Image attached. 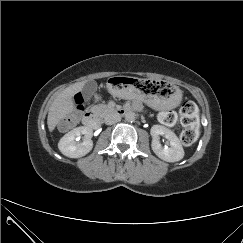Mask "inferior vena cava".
I'll use <instances>...</instances> for the list:
<instances>
[{
    "mask_svg": "<svg viewBox=\"0 0 243 243\" xmlns=\"http://www.w3.org/2000/svg\"><path fill=\"white\" fill-rule=\"evenodd\" d=\"M120 120H121L120 115H118L116 113H109L104 118V122L107 125L115 124V123L119 122Z\"/></svg>",
    "mask_w": 243,
    "mask_h": 243,
    "instance_id": "602c4592",
    "label": "inferior vena cava"
}]
</instances>
